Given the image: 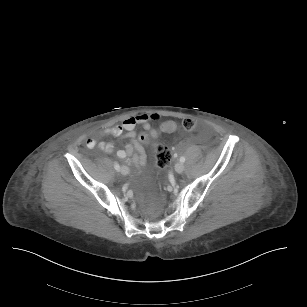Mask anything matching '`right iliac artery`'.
Wrapping results in <instances>:
<instances>
[{
    "label": "right iliac artery",
    "mask_w": 307,
    "mask_h": 307,
    "mask_svg": "<svg viewBox=\"0 0 307 307\" xmlns=\"http://www.w3.org/2000/svg\"><path fill=\"white\" fill-rule=\"evenodd\" d=\"M114 168L117 170V171H120V166L118 163H114Z\"/></svg>",
    "instance_id": "1"
}]
</instances>
